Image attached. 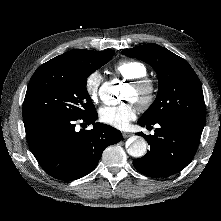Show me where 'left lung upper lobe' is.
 Here are the masks:
<instances>
[{
  "label": "left lung upper lobe",
  "mask_w": 221,
  "mask_h": 221,
  "mask_svg": "<svg viewBox=\"0 0 221 221\" xmlns=\"http://www.w3.org/2000/svg\"><path fill=\"white\" fill-rule=\"evenodd\" d=\"M121 53L148 63L158 75L157 97L140 120L156 122L172 118L205 124L202 86L186 60L154 43L124 49Z\"/></svg>",
  "instance_id": "5c2ea615"
}]
</instances>
